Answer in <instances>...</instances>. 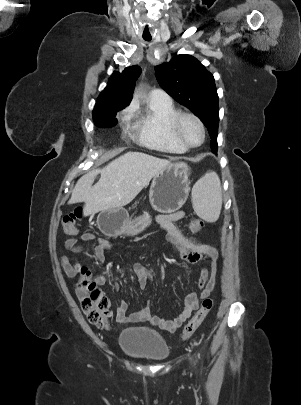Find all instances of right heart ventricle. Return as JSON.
Returning <instances> with one entry per match:
<instances>
[{
    "label": "right heart ventricle",
    "mask_w": 301,
    "mask_h": 405,
    "mask_svg": "<svg viewBox=\"0 0 301 405\" xmlns=\"http://www.w3.org/2000/svg\"><path fill=\"white\" fill-rule=\"evenodd\" d=\"M177 113L172 104L149 101L144 111H131L128 118L130 130L135 139L147 148L171 154L184 153L187 148L170 131V121Z\"/></svg>",
    "instance_id": "1"
}]
</instances>
